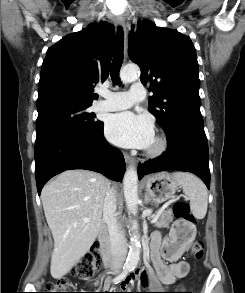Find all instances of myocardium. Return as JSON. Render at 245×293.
<instances>
[{
    "label": "myocardium",
    "mask_w": 245,
    "mask_h": 293,
    "mask_svg": "<svg viewBox=\"0 0 245 293\" xmlns=\"http://www.w3.org/2000/svg\"><path fill=\"white\" fill-rule=\"evenodd\" d=\"M168 148V140L163 135H158L154 138L153 143L147 150V154L150 156H159Z\"/></svg>",
    "instance_id": "1"
}]
</instances>
